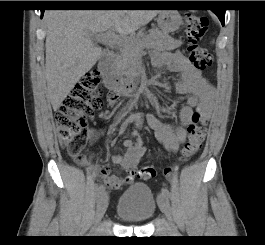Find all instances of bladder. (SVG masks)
<instances>
[{
  "label": "bladder",
  "mask_w": 265,
  "mask_h": 245,
  "mask_svg": "<svg viewBox=\"0 0 265 245\" xmlns=\"http://www.w3.org/2000/svg\"><path fill=\"white\" fill-rule=\"evenodd\" d=\"M157 206L158 201L147 185L134 184L122 193L115 211L124 222L141 224L153 216Z\"/></svg>",
  "instance_id": "31cf9c89"
}]
</instances>
